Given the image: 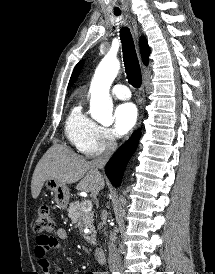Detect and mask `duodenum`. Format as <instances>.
Here are the masks:
<instances>
[{"label": "duodenum", "mask_w": 215, "mask_h": 274, "mask_svg": "<svg viewBox=\"0 0 215 274\" xmlns=\"http://www.w3.org/2000/svg\"><path fill=\"white\" fill-rule=\"evenodd\" d=\"M95 258L99 264H104L106 262L105 251L101 247L95 249Z\"/></svg>", "instance_id": "duodenum-1"}]
</instances>
